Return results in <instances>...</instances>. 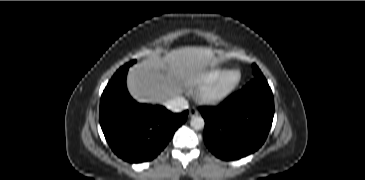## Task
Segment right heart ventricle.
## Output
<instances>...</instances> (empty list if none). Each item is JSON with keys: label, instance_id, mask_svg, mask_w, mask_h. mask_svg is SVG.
Wrapping results in <instances>:
<instances>
[{"label": "right heart ventricle", "instance_id": "e07e8e85", "mask_svg": "<svg viewBox=\"0 0 365 180\" xmlns=\"http://www.w3.org/2000/svg\"><path fill=\"white\" fill-rule=\"evenodd\" d=\"M222 72H223V69H221V68L209 70V71L205 72L204 74H202L201 76H199L196 79L195 84L198 87H203V86L207 85L209 82H211L213 79H215Z\"/></svg>", "mask_w": 365, "mask_h": 180}]
</instances>
